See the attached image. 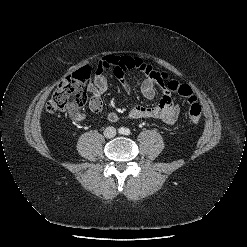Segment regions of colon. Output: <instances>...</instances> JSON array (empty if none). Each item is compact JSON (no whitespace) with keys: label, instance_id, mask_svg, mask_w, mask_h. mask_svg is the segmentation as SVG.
I'll return each mask as SVG.
<instances>
[{"label":"colon","instance_id":"obj_1","mask_svg":"<svg viewBox=\"0 0 247 247\" xmlns=\"http://www.w3.org/2000/svg\"><path fill=\"white\" fill-rule=\"evenodd\" d=\"M90 73L89 67H83L62 80L47 102V111L50 113L69 112L70 114L78 112L87 101ZM168 89L187 101L189 121L197 125L201 120L202 108L192 89L187 84H180L176 81L169 82Z\"/></svg>","mask_w":247,"mask_h":247}]
</instances>
